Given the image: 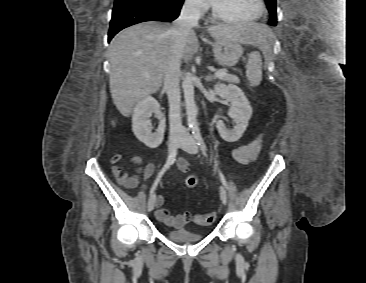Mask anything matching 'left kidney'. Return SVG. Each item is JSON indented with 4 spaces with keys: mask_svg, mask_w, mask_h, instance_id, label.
Returning <instances> with one entry per match:
<instances>
[{
    "mask_svg": "<svg viewBox=\"0 0 366 283\" xmlns=\"http://www.w3.org/2000/svg\"><path fill=\"white\" fill-rule=\"evenodd\" d=\"M214 93L225 97L230 102L229 116L235 122L234 128L229 130L223 121H217L216 127L219 135L227 142H235L241 138L248 126V121L252 116V107L243 91L236 85L218 83L214 86Z\"/></svg>",
    "mask_w": 366,
    "mask_h": 283,
    "instance_id": "1",
    "label": "left kidney"
}]
</instances>
